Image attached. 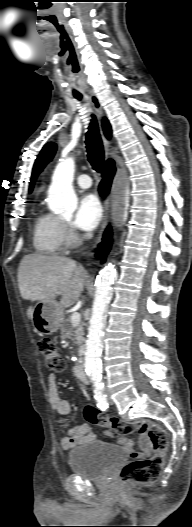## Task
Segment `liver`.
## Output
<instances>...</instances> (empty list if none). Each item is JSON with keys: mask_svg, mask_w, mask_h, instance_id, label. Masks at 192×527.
<instances>
[{"mask_svg": "<svg viewBox=\"0 0 192 527\" xmlns=\"http://www.w3.org/2000/svg\"><path fill=\"white\" fill-rule=\"evenodd\" d=\"M85 271L76 262L63 256L25 255L18 268L21 297L31 301L54 300L61 295V308L70 307L84 290ZM34 307L27 310L33 318Z\"/></svg>", "mask_w": 192, "mask_h": 527, "instance_id": "liver-1", "label": "liver"}]
</instances>
